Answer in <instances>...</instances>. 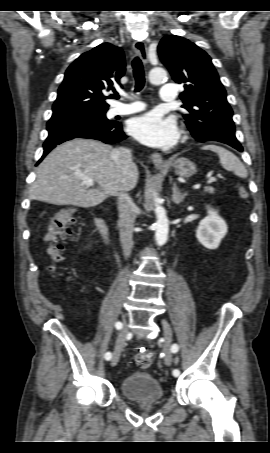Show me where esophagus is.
<instances>
[{
	"label": "esophagus",
	"mask_w": 270,
	"mask_h": 453,
	"mask_svg": "<svg viewBox=\"0 0 270 453\" xmlns=\"http://www.w3.org/2000/svg\"><path fill=\"white\" fill-rule=\"evenodd\" d=\"M133 49L135 53L138 54L144 62H147V46L143 41H135L133 43ZM151 159L156 167L160 168L166 166V162L159 153H153L151 155Z\"/></svg>",
	"instance_id": "1"
}]
</instances>
